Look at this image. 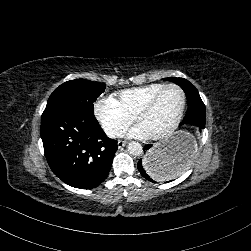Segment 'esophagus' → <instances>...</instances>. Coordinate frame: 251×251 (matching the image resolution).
<instances>
[{
	"mask_svg": "<svg viewBox=\"0 0 251 251\" xmlns=\"http://www.w3.org/2000/svg\"><path fill=\"white\" fill-rule=\"evenodd\" d=\"M126 145V141L119 140L118 141V149H122Z\"/></svg>",
	"mask_w": 251,
	"mask_h": 251,
	"instance_id": "obj_1",
	"label": "esophagus"
}]
</instances>
